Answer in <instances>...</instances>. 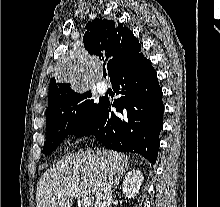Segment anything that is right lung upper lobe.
<instances>
[{
  "label": "right lung upper lobe",
  "mask_w": 220,
  "mask_h": 207,
  "mask_svg": "<svg viewBox=\"0 0 220 207\" xmlns=\"http://www.w3.org/2000/svg\"><path fill=\"white\" fill-rule=\"evenodd\" d=\"M83 43L88 54L107 63L110 80L116 72L140 51V43L123 24L107 19H94L87 23ZM105 64V63H104ZM76 92L70 83L59 82L54 77L49 84L46 114L55 110L66 98Z\"/></svg>",
  "instance_id": "1"
}]
</instances>
